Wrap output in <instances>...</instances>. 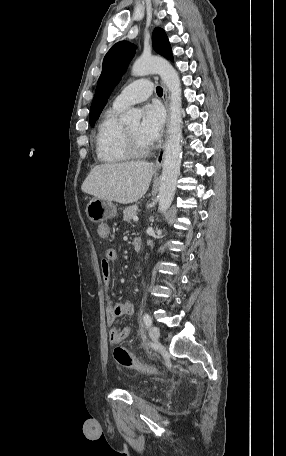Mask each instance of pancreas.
<instances>
[{
	"label": "pancreas",
	"mask_w": 286,
	"mask_h": 456,
	"mask_svg": "<svg viewBox=\"0 0 286 456\" xmlns=\"http://www.w3.org/2000/svg\"><path fill=\"white\" fill-rule=\"evenodd\" d=\"M137 211H138V208L136 205L126 207L123 210V214H124L123 220L126 222H130L131 219L137 215Z\"/></svg>",
	"instance_id": "obj_1"
}]
</instances>
